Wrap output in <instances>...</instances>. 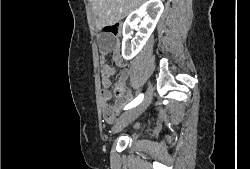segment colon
<instances>
[{
  "instance_id": "5ec220e1",
  "label": "colon",
  "mask_w": 250,
  "mask_h": 169,
  "mask_svg": "<svg viewBox=\"0 0 250 169\" xmlns=\"http://www.w3.org/2000/svg\"><path fill=\"white\" fill-rule=\"evenodd\" d=\"M106 39L104 41V47L108 49L114 41H121L122 38V26L119 24L107 25L103 29ZM116 94L121 95L122 89L117 87Z\"/></svg>"
}]
</instances>
